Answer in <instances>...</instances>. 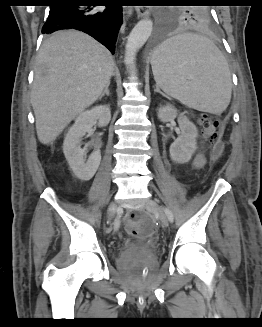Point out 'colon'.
Returning <instances> with one entry per match:
<instances>
[{
	"mask_svg": "<svg viewBox=\"0 0 262 327\" xmlns=\"http://www.w3.org/2000/svg\"><path fill=\"white\" fill-rule=\"evenodd\" d=\"M199 122L204 140L209 143L217 141L221 130L220 121L211 115L203 114ZM223 150V144L218 141L213 148V156L219 158ZM126 227L131 234L137 237H148L153 232L154 224L146 214L132 213L127 217Z\"/></svg>",
	"mask_w": 262,
	"mask_h": 327,
	"instance_id": "obj_1",
	"label": "colon"
}]
</instances>
